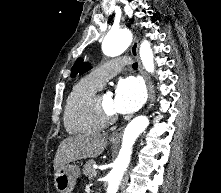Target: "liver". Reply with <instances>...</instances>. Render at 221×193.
<instances>
[{
	"label": "liver",
	"mask_w": 221,
	"mask_h": 193,
	"mask_svg": "<svg viewBox=\"0 0 221 193\" xmlns=\"http://www.w3.org/2000/svg\"><path fill=\"white\" fill-rule=\"evenodd\" d=\"M107 139L106 134L77 135L64 139L55 154L54 170L70 162L99 156L106 147Z\"/></svg>",
	"instance_id": "6515ba94"
}]
</instances>
